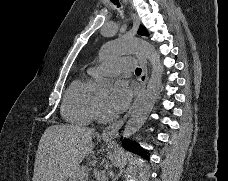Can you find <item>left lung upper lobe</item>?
Here are the masks:
<instances>
[{
  "label": "left lung upper lobe",
  "instance_id": "1",
  "mask_svg": "<svg viewBox=\"0 0 228 181\" xmlns=\"http://www.w3.org/2000/svg\"><path fill=\"white\" fill-rule=\"evenodd\" d=\"M138 34H140V35H148L146 29L143 26H140V28L138 30Z\"/></svg>",
  "mask_w": 228,
  "mask_h": 181
}]
</instances>
